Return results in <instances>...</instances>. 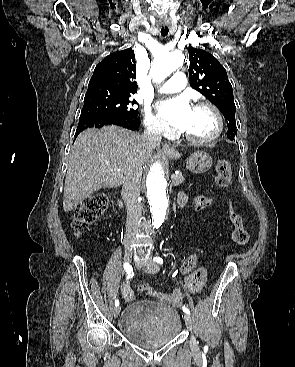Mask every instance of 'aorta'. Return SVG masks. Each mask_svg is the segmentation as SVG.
I'll list each match as a JSON object with an SVG mask.
<instances>
[{"label":"aorta","mask_w":295,"mask_h":367,"mask_svg":"<svg viewBox=\"0 0 295 367\" xmlns=\"http://www.w3.org/2000/svg\"><path fill=\"white\" fill-rule=\"evenodd\" d=\"M184 63L180 51L165 52L154 59L151 74L156 82L163 81ZM147 198L152 214L153 228H159L165 220L169 201L167 197V179L163 164L155 161L151 164L146 178Z\"/></svg>","instance_id":"aorta-1"}]
</instances>
